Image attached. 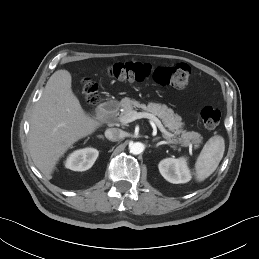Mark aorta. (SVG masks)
Returning <instances> with one entry per match:
<instances>
[{"instance_id":"1","label":"aorta","mask_w":259,"mask_h":259,"mask_svg":"<svg viewBox=\"0 0 259 259\" xmlns=\"http://www.w3.org/2000/svg\"><path fill=\"white\" fill-rule=\"evenodd\" d=\"M129 150H130V153L134 155H138L143 152L144 145L140 142H135L129 145Z\"/></svg>"}]
</instances>
